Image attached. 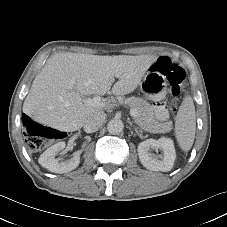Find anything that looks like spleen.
Returning <instances> with one entry per match:
<instances>
[{
	"label": "spleen",
	"mask_w": 227,
	"mask_h": 227,
	"mask_svg": "<svg viewBox=\"0 0 227 227\" xmlns=\"http://www.w3.org/2000/svg\"><path fill=\"white\" fill-rule=\"evenodd\" d=\"M196 132L195 106L191 96H186L177 113L175 137L183 151H189L194 143Z\"/></svg>",
	"instance_id": "obj_1"
}]
</instances>
